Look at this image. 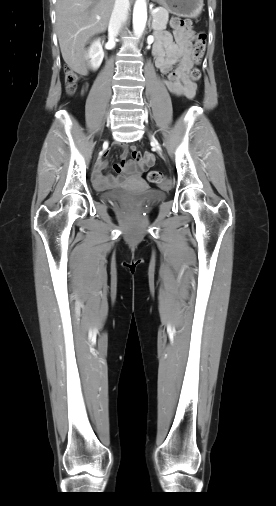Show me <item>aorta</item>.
Instances as JSON below:
<instances>
[{
    "mask_svg": "<svg viewBox=\"0 0 276 506\" xmlns=\"http://www.w3.org/2000/svg\"><path fill=\"white\" fill-rule=\"evenodd\" d=\"M147 21L146 0H136L133 10V31L137 38L144 32Z\"/></svg>",
    "mask_w": 276,
    "mask_h": 506,
    "instance_id": "762f6f07",
    "label": "aorta"
}]
</instances>
